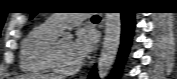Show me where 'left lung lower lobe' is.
<instances>
[{"mask_svg":"<svg viewBox=\"0 0 177 79\" xmlns=\"http://www.w3.org/2000/svg\"><path fill=\"white\" fill-rule=\"evenodd\" d=\"M122 18V36H121V48L119 52V63L121 64L127 56L131 39L133 35V29L135 25L134 13L123 12L121 13ZM89 79H98L96 70H93L89 76Z\"/></svg>","mask_w":177,"mask_h":79,"instance_id":"obj_1","label":"left lung lower lobe"}]
</instances>
